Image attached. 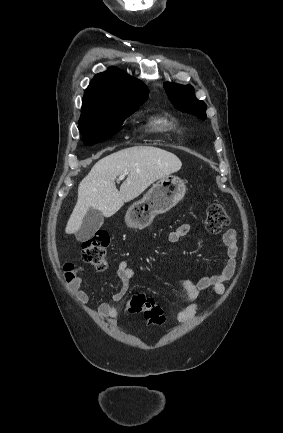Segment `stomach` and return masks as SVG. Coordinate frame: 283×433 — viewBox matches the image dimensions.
<instances>
[{
  "label": "stomach",
  "mask_w": 283,
  "mask_h": 433,
  "mask_svg": "<svg viewBox=\"0 0 283 433\" xmlns=\"http://www.w3.org/2000/svg\"><path fill=\"white\" fill-rule=\"evenodd\" d=\"M186 192V184L179 176H163L156 184L149 188L141 200L133 202L129 206L126 217L129 219L130 227L141 225L153 221L155 214L166 212L172 206H175Z\"/></svg>",
  "instance_id": "0dacf381"
}]
</instances>
